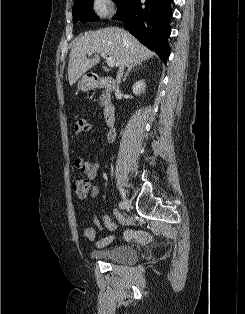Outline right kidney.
<instances>
[{"label": "right kidney", "mask_w": 245, "mask_h": 314, "mask_svg": "<svg viewBox=\"0 0 245 314\" xmlns=\"http://www.w3.org/2000/svg\"><path fill=\"white\" fill-rule=\"evenodd\" d=\"M145 87H146V84H145L144 80L137 81L132 86L133 93L135 95H140L142 92L144 93Z\"/></svg>", "instance_id": "1"}]
</instances>
